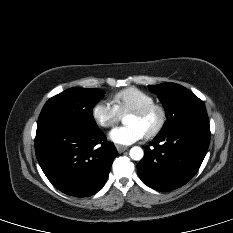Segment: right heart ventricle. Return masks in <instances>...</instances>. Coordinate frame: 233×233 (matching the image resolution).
<instances>
[{"label":"right heart ventricle","mask_w":233,"mask_h":233,"mask_svg":"<svg viewBox=\"0 0 233 233\" xmlns=\"http://www.w3.org/2000/svg\"><path fill=\"white\" fill-rule=\"evenodd\" d=\"M112 102L121 115L154 102V97L146 91L129 87L115 93Z\"/></svg>","instance_id":"e07e8e85"}]
</instances>
